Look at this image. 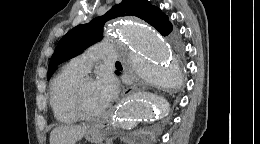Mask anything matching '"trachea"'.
<instances>
[{
  "label": "trachea",
  "mask_w": 260,
  "mask_h": 144,
  "mask_svg": "<svg viewBox=\"0 0 260 144\" xmlns=\"http://www.w3.org/2000/svg\"><path fill=\"white\" fill-rule=\"evenodd\" d=\"M116 64H121V63L117 61Z\"/></svg>",
  "instance_id": "trachea-1"
}]
</instances>
